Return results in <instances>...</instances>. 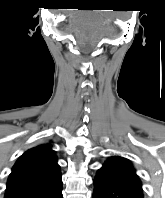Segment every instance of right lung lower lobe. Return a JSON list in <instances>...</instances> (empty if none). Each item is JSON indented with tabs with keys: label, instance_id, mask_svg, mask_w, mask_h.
Masks as SVG:
<instances>
[{
	"label": "right lung lower lobe",
	"instance_id": "right-lung-lower-lobe-1",
	"mask_svg": "<svg viewBox=\"0 0 165 198\" xmlns=\"http://www.w3.org/2000/svg\"><path fill=\"white\" fill-rule=\"evenodd\" d=\"M49 198H63L62 196V188L59 189L56 193H54L52 196H50Z\"/></svg>",
	"mask_w": 165,
	"mask_h": 198
}]
</instances>
